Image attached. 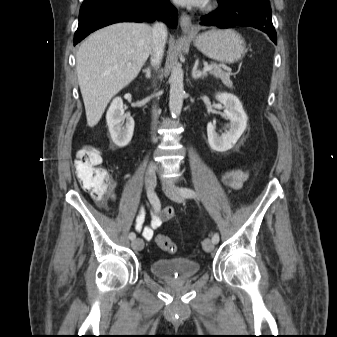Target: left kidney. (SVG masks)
Instances as JSON below:
<instances>
[{
	"label": "left kidney",
	"mask_w": 337,
	"mask_h": 337,
	"mask_svg": "<svg viewBox=\"0 0 337 337\" xmlns=\"http://www.w3.org/2000/svg\"><path fill=\"white\" fill-rule=\"evenodd\" d=\"M216 99L224 105V116L230 121L228 131L222 136L216 132L214 123H208L207 135L210 147L217 152L230 150L247 127V115L239 99L230 93H219Z\"/></svg>",
	"instance_id": "left-kidney-1"
}]
</instances>
